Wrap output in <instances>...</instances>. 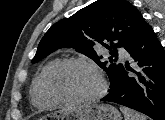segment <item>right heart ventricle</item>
I'll list each match as a JSON object with an SVG mask.
<instances>
[{
	"instance_id": "obj_1",
	"label": "right heart ventricle",
	"mask_w": 165,
	"mask_h": 120,
	"mask_svg": "<svg viewBox=\"0 0 165 120\" xmlns=\"http://www.w3.org/2000/svg\"><path fill=\"white\" fill-rule=\"evenodd\" d=\"M55 61H49L41 70L37 78L35 79L32 89L31 98L34 105L39 108H51L57 104L46 91L45 88V77L49 69Z\"/></svg>"
}]
</instances>
